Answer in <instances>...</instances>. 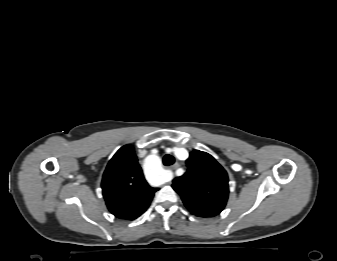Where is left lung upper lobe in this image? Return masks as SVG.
<instances>
[{
  "instance_id": "5c2ea615",
  "label": "left lung upper lobe",
  "mask_w": 337,
  "mask_h": 261,
  "mask_svg": "<svg viewBox=\"0 0 337 261\" xmlns=\"http://www.w3.org/2000/svg\"><path fill=\"white\" fill-rule=\"evenodd\" d=\"M186 165V173L172 185L186 208L204 218L220 214L229 193L226 171L210 154L199 150L190 153Z\"/></svg>"
}]
</instances>
